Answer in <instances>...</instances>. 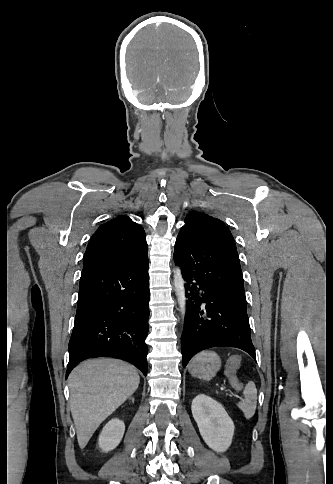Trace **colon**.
I'll list each match as a JSON object with an SVG mask.
<instances>
[{
    "label": "colon",
    "mask_w": 333,
    "mask_h": 484,
    "mask_svg": "<svg viewBox=\"0 0 333 484\" xmlns=\"http://www.w3.org/2000/svg\"><path fill=\"white\" fill-rule=\"evenodd\" d=\"M239 363L240 361L237 357L231 359L228 363L227 370H226L229 382L232 388L236 391H241L243 388V384L241 383V381L236 375V370L239 366Z\"/></svg>",
    "instance_id": "colon-1"
}]
</instances>
